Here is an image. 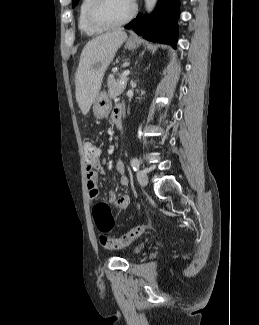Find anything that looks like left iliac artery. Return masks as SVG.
I'll return each instance as SVG.
<instances>
[{
  "label": "left iliac artery",
  "mask_w": 259,
  "mask_h": 325,
  "mask_svg": "<svg viewBox=\"0 0 259 325\" xmlns=\"http://www.w3.org/2000/svg\"><path fill=\"white\" fill-rule=\"evenodd\" d=\"M136 160H138V159H137V158H133V159L131 160V167H132L133 164H135V161H136Z\"/></svg>",
  "instance_id": "44dca946"
}]
</instances>
